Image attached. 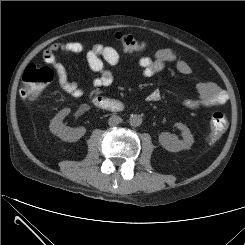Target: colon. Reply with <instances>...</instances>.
I'll return each mask as SVG.
<instances>
[{
  "instance_id": "1",
  "label": "colon",
  "mask_w": 245,
  "mask_h": 245,
  "mask_svg": "<svg viewBox=\"0 0 245 245\" xmlns=\"http://www.w3.org/2000/svg\"><path fill=\"white\" fill-rule=\"evenodd\" d=\"M115 38L127 52H142L145 50L144 44L131 35L117 33ZM52 79L53 70L50 67L27 66L22 77L21 97L28 101L35 100ZM227 123L228 120L224 113L214 112L210 119L208 140L211 142L218 140L226 130Z\"/></svg>"
}]
</instances>
